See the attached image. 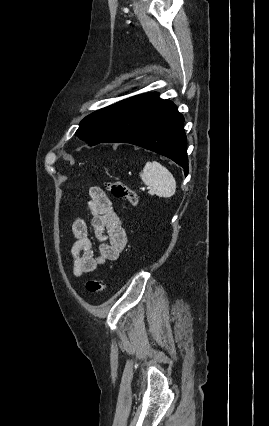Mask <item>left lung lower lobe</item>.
<instances>
[{
	"label": "left lung lower lobe",
	"instance_id": "obj_1",
	"mask_svg": "<svg viewBox=\"0 0 269 426\" xmlns=\"http://www.w3.org/2000/svg\"><path fill=\"white\" fill-rule=\"evenodd\" d=\"M183 116L155 92L136 95L101 143H130L170 158L188 174Z\"/></svg>",
	"mask_w": 269,
	"mask_h": 426
}]
</instances>
